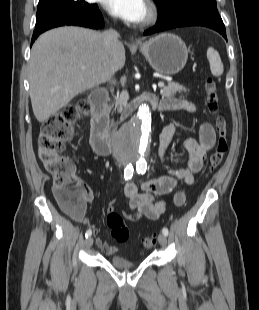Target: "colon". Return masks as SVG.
<instances>
[{"label": "colon", "mask_w": 259, "mask_h": 310, "mask_svg": "<svg viewBox=\"0 0 259 310\" xmlns=\"http://www.w3.org/2000/svg\"><path fill=\"white\" fill-rule=\"evenodd\" d=\"M205 105L207 110L216 117V140L214 152L206 166V174H212L219 167L228 151L227 128L225 119L220 114L216 84L208 79L205 84ZM88 109L85 100L63 108L59 115L49 118L42 126L39 136V158L45 169L53 177V195L59 206L74 218L84 212L87 200L85 189L76 177L72 159L64 155L65 143L72 137L73 124L80 113ZM112 237L120 243L129 238V229L122 216L109 211L106 219ZM156 243V235H147L143 241L145 249L152 248Z\"/></svg>", "instance_id": "obj_1"}]
</instances>
